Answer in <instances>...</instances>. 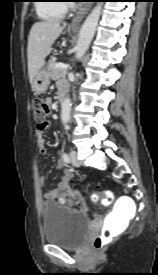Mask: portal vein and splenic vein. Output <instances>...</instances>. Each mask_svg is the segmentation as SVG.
Wrapping results in <instances>:
<instances>
[{
    "label": "portal vein and splenic vein",
    "mask_w": 158,
    "mask_h": 275,
    "mask_svg": "<svg viewBox=\"0 0 158 275\" xmlns=\"http://www.w3.org/2000/svg\"><path fill=\"white\" fill-rule=\"evenodd\" d=\"M56 68H63V69H68L69 65L68 64H63V63H57L55 65Z\"/></svg>",
    "instance_id": "obj_1"
}]
</instances>
